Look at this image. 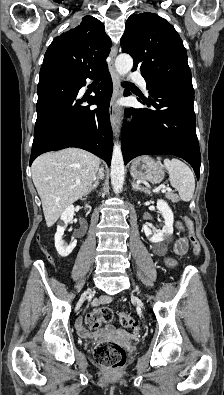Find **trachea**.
I'll list each match as a JSON object with an SVG mask.
<instances>
[{
  "label": "trachea",
  "instance_id": "1",
  "mask_svg": "<svg viewBox=\"0 0 224 395\" xmlns=\"http://www.w3.org/2000/svg\"><path fill=\"white\" fill-rule=\"evenodd\" d=\"M122 85H133V84L129 82H123Z\"/></svg>",
  "mask_w": 224,
  "mask_h": 395
}]
</instances>
